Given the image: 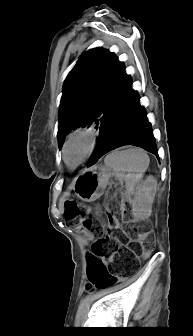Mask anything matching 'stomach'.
<instances>
[{
	"mask_svg": "<svg viewBox=\"0 0 193 336\" xmlns=\"http://www.w3.org/2000/svg\"><path fill=\"white\" fill-rule=\"evenodd\" d=\"M108 169L93 167L82 171L74 181L76 195L85 202L99 198L109 181Z\"/></svg>",
	"mask_w": 193,
	"mask_h": 336,
	"instance_id": "0dacf381",
	"label": "stomach"
}]
</instances>
